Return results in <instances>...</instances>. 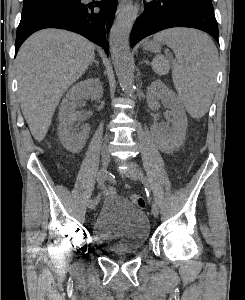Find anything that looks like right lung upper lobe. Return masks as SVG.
I'll return each instance as SVG.
<instances>
[{
    "label": "right lung upper lobe",
    "mask_w": 245,
    "mask_h": 300,
    "mask_svg": "<svg viewBox=\"0 0 245 300\" xmlns=\"http://www.w3.org/2000/svg\"><path fill=\"white\" fill-rule=\"evenodd\" d=\"M29 1H34V0H24V2H29Z\"/></svg>",
    "instance_id": "obj_1"
}]
</instances>
